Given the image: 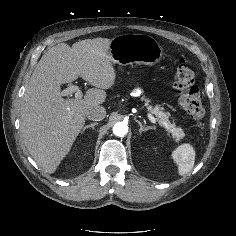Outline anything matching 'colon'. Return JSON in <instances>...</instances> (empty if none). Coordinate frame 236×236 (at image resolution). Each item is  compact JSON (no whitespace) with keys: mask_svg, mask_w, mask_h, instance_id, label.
Instances as JSON below:
<instances>
[{"mask_svg":"<svg viewBox=\"0 0 236 236\" xmlns=\"http://www.w3.org/2000/svg\"><path fill=\"white\" fill-rule=\"evenodd\" d=\"M194 72L185 60L178 63L174 88L177 92L179 103L184 111L195 120H199L204 115V107L198 88L194 82Z\"/></svg>","mask_w":236,"mask_h":236,"instance_id":"colon-1","label":"colon"}]
</instances>
